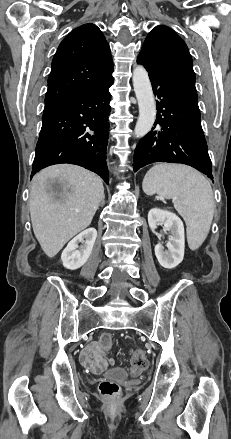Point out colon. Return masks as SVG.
Masks as SVG:
<instances>
[{
	"mask_svg": "<svg viewBox=\"0 0 231 439\" xmlns=\"http://www.w3.org/2000/svg\"><path fill=\"white\" fill-rule=\"evenodd\" d=\"M100 349L104 354H107L112 347V338L109 334H103L99 340ZM130 372L133 375H138L147 369L149 365L146 353L142 349H136L131 357ZM100 394L107 399H115L120 394V386L117 382L112 380H102L99 383Z\"/></svg>",
	"mask_w": 231,
	"mask_h": 439,
	"instance_id": "colon-1",
	"label": "colon"
}]
</instances>
